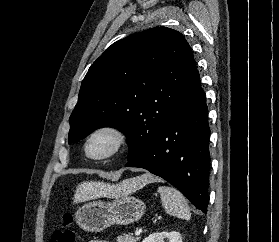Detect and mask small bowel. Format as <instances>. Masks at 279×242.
Segmentation results:
<instances>
[{"instance_id": "small-bowel-1", "label": "small bowel", "mask_w": 279, "mask_h": 242, "mask_svg": "<svg viewBox=\"0 0 279 242\" xmlns=\"http://www.w3.org/2000/svg\"><path fill=\"white\" fill-rule=\"evenodd\" d=\"M89 242H109V241H104V240H91Z\"/></svg>"}]
</instances>
